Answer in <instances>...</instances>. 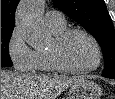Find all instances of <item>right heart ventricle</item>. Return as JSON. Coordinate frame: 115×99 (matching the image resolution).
<instances>
[{"label":"right heart ventricle","mask_w":115,"mask_h":99,"mask_svg":"<svg viewBox=\"0 0 115 99\" xmlns=\"http://www.w3.org/2000/svg\"><path fill=\"white\" fill-rule=\"evenodd\" d=\"M51 33L56 36L59 33H61L63 30L66 29V25H60V26H54V25H48ZM36 53V62H35V71L39 72H49L53 71L54 68L52 67L48 55H47V50H38L35 51Z\"/></svg>","instance_id":"obj_1"}]
</instances>
